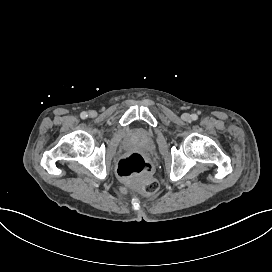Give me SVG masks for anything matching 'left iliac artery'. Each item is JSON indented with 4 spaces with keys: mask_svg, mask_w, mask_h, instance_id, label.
<instances>
[{
    "mask_svg": "<svg viewBox=\"0 0 272 272\" xmlns=\"http://www.w3.org/2000/svg\"><path fill=\"white\" fill-rule=\"evenodd\" d=\"M191 119L195 121V120L198 119V116H197L196 114H192V115H191Z\"/></svg>",
    "mask_w": 272,
    "mask_h": 272,
    "instance_id": "1",
    "label": "left iliac artery"
}]
</instances>
